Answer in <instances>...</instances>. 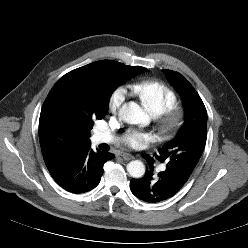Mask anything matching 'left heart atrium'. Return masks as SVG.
Listing matches in <instances>:
<instances>
[{"label": "left heart atrium", "instance_id": "1", "mask_svg": "<svg viewBox=\"0 0 248 248\" xmlns=\"http://www.w3.org/2000/svg\"><path fill=\"white\" fill-rule=\"evenodd\" d=\"M153 139L150 134L143 133L137 130H130L125 133L123 141L131 148H140L144 143Z\"/></svg>", "mask_w": 248, "mask_h": 248}]
</instances>
